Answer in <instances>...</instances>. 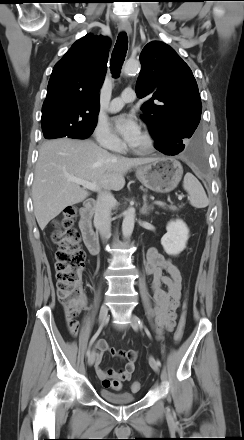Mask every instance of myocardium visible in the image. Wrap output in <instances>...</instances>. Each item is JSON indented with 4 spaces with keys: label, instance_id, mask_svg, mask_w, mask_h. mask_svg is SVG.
Listing matches in <instances>:
<instances>
[{
    "label": "myocardium",
    "instance_id": "1",
    "mask_svg": "<svg viewBox=\"0 0 244 440\" xmlns=\"http://www.w3.org/2000/svg\"><path fill=\"white\" fill-rule=\"evenodd\" d=\"M141 135L143 139L142 144L137 147L131 146L130 149L138 154H145L151 152L155 147V139L152 133L149 130L144 129Z\"/></svg>",
    "mask_w": 244,
    "mask_h": 440
}]
</instances>
